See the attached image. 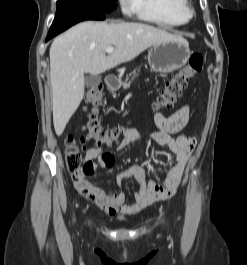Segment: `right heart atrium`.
Instances as JSON below:
<instances>
[{"mask_svg":"<svg viewBox=\"0 0 247 265\" xmlns=\"http://www.w3.org/2000/svg\"><path fill=\"white\" fill-rule=\"evenodd\" d=\"M119 4L125 14H131L135 11L136 0H119Z\"/></svg>","mask_w":247,"mask_h":265,"instance_id":"right-heart-atrium-1","label":"right heart atrium"}]
</instances>
